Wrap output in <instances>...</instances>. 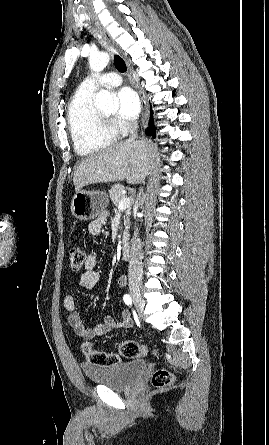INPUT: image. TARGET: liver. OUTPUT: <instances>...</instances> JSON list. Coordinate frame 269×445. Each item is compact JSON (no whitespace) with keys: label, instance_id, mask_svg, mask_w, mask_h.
Returning <instances> with one entry per match:
<instances>
[{"label":"liver","instance_id":"6515ba94","mask_svg":"<svg viewBox=\"0 0 269 445\" xmlns=\"http://www.w3.org/2000/svg\"><path fill=\"white\" fill-rule=\"evenodd\" d=\"M151 146L146 141H123L85 158L76 168L73 183L76 193L95 183H140L148 169Z\"/></svg>","mask_w":269,"mask_h":445}]
</instances>
